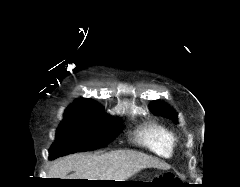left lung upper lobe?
Masks as SVG:
<instances>
[{
    "mask_svg": "<svg viewBox=\"0 0 240 187\" xmlns=\"http://www.w3.org/2000/svg\"><path fill=\"white\" fill-rule=\"evenodd\" d=\"M150 110L153 114L171 118L175 123H177V113L174 109L170 108L167 104L163 102L152 103L150 106Z\"/></svg>",
    "mask_w": 240,
    "mask_h": 187,
    "instance_id": "1",
    "label": "left lung upper lobe"
}]
</instances>
